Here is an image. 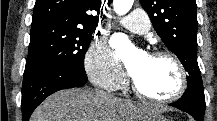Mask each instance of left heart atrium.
<instances>
[{
    "mask_svg": "<svg viewBox=\"0 0 217 121\" xmlns=\"http://www.w3.org/2000/svg\"><path fill=\"white\" fill-rule=\"evenodd\" d=\"M113 45L117 49L120 58L125 61L128 72L132 76L138 72L143 62L149 57L145 53L134 51L121 35H117L113 38Z\"/></svg>",
    "mask_w": 217,
    "mask_h": 121,
    "instance_id": "39dd6f15",
    "label": "left heart atrium"
}]
</instances>
